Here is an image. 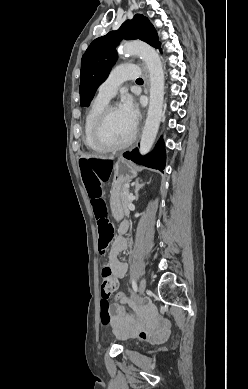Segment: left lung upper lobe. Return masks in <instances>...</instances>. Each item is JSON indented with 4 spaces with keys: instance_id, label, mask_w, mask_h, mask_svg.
<instances>
[{
    "instance_id": "5c2ea615",
    "label": "left lung upper lobe",
    "mask_w": 248,
    "mask_h": 389,
    "mask_svg": "<svg viewBox=\"0 0 248 389\" xmlns=\"http://www.w3.org/2000/svg\"><path fill=\"white\" fill-rule=\"evenodd\" d=\"M141 39L152 47L160 48L158 35L147 17L136 14L125 21L117 31L95 39L81 60L80 103L88 107L97 88L106 80L117 59L116 46L122 39Z\"/></svg>"
}]
</instances>
